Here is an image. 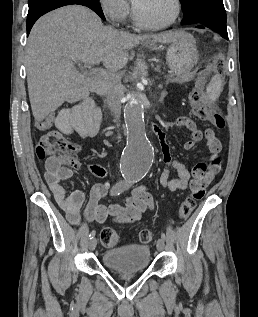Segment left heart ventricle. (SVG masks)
<instances>
[{
  "mask_svg": "<svg viewBox=\"0 0 258 317\" xmlns=\"http://www.w3.org/2000/svg\"><path fill=\"white\" fill-rule=\"evenodd\" d=\"M175 14V5L170 0H153L144 3L140 9L141 23L147 28L167 23Z\"/></svg>",
  "mask_w": 258,
  "mask_h": 317,
  "instance_id": "b2bd125f",
  "label": "left heart ventricle"
}]
</instances>
